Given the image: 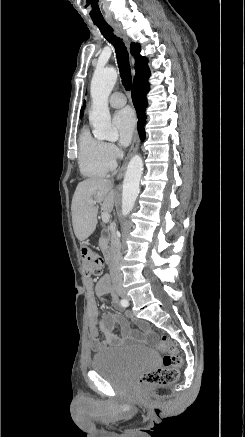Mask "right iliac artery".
I'll return each instance as SVG.
<instances>
[{
    "mask_svg": "<svg viewBox=\"0 0 245 437\" xmlns=\"http://www.w3.org/2000/svg\"><path fill=\"white\" fill-rule=\"evenodd\" d=\"M120 304H121V306H123V307H127V306H128V301L125 300V299H121V300H120Z\"/></svg>",
    "mask_w": 245,
    "mask_h": 437,
    "instance_id": "1",
    "label": "right iliac artery"
}]
</instances>
